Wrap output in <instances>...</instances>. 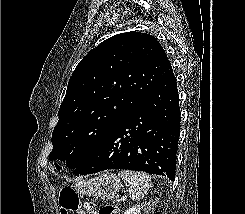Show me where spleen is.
I'll list each match as a JSON object with an SVG mask.
<instances>
[{
  "label": "spleen",
  "instance_id": "spleen-1",
  "mask_svg": "<svg viewBox=\"0 0 245 214\" xmlns=\"http://www.w3.org/2000/svg\"><path fill=\"white\" fill-rule=\"evenodd\" d=\"M118 175L129 187V194L132 199L140 200L145 196L151 184L149 175L132 170H121Z\"/></svg>",
  "mask_w": 245,
  "mask_h": 214
}]
</instances>
